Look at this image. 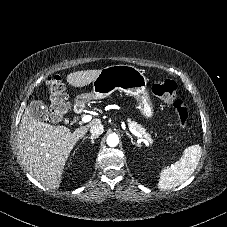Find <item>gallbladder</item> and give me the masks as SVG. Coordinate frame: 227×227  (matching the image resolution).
<instances>
[{"label":"gallbladder","mask_w":227,"mask_h":227,"mask_svg":"<svg viewBox=\"0 0 227 227\" xmlns=\"http://www.w3.org/2000/svg\"><path fill=\"white\" fill-rule=\"evenodd\" d=\"M29 108L32 116L37 121H48L49 112L47 106L39 100H34L30 103Z\"/></svg>","instance_id":"1"}]
</instances>
